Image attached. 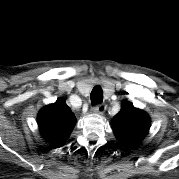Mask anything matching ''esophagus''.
<instances>
[{
  "label": "esophagus",
  "instance_id": "obj_1",
  "mask_svg": "<svg viewBox=\"0 0 179 179\" xmlns=\"http://www.w3.org/2000/svg\"><path fill=\"white\" fill-rule=\"evenodd\" d=\"M106 110L105 104H98L97 106L93 107L92 112L97 114H103Z\"/></svg>",
  "mask_w": 179,
  "mask_h": 179
}]
</instances>
